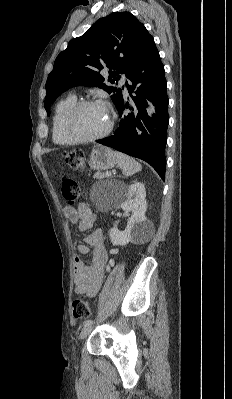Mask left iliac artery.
Masks as SVG:
<instances>
[{
    "instance_id": "left-iliac-artery-1",
    "label": "left iliac artery",
    "mask_w": 232,
    "mask_h": 399,
    "mask_svg": "<svg viewBox=\"0 0 232 399\" xmlns=\"http://www.w3.org/2000/svg\"><path fill=\"white\" fill-rule=\"evenodd\" d=\"M92 322H93L92 320H85L83 325H84V327H88L92 324Z\"/></svg>"
}]
</instances>
